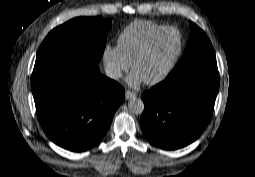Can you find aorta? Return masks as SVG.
<instances>
[{
    "label": "aorta",
    "mask_w": 255,
    "mask_h": 177,
    "mask_svg": "<svg viewBox=\"0 0 255 177\" xmlns=\"http://www.w3.org/2000/svg\"><path fill=\"white\" fill-rule=\"evenodd\" d=\"M129 111L135 115H141L144 111V103L140 98H131L128 102Z\"/></svg>",
    "instance_id": "762f6f07"
}]
</instances>
